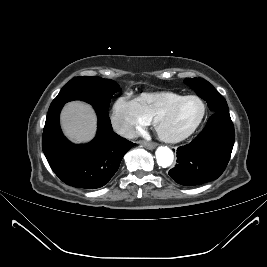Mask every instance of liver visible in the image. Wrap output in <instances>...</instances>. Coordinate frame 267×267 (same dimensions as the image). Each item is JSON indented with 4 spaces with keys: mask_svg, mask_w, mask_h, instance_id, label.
<instances>
[{
    "mask_svg": "<svg viewBox=\"0 0 267 267\" xmlns=\"http://www.w3.org/2000/svg\"><path fill=\"white\" fill-rule=\"evenodd\" d=\"M64 134L75 143H86L96 133L97 117L94 109L82 101L67 103L60 116Z\"/></svg>",
    "mask_w": 267,
    "mask_h": 267,
    "instance_id": "obj_1",
    "label": "liver"
}]
</instances>
